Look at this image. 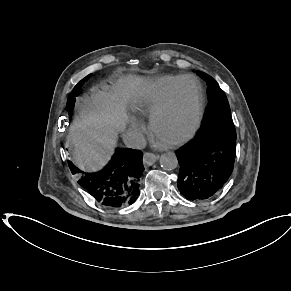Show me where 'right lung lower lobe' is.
<instances>
[{"instance_id": "1", "label": "right lung lower lobe", "mask_w": 291, "mask_h": 291, "mask_svg": "<svg viewBox=\"0 0 291 291\" xmlns=\"http://www.w3.org/2000/svg\"><path fill=\"white\" fill-rule=\"evenodd\" d=\"M78 183L105 207L119 208L133 204L140 194V179L144 171L142 152L118 148L111 161L99 172L85 173L69 161Z\"/></svg>"}]
</instances>
